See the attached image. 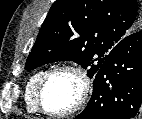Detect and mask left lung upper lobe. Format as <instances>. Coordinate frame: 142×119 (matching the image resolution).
Returning a JSON list of instances; mask_svg holds the SVG:
<instances>
[{"mask_svg":"<svg viewBox=\"0 0 142 119\" xmlns=\"http://www.w3.org/2000/svg\"><path fill=\"white\" fill-rule=\"evenodd\" d=\"M142 15L136 0H56L26 61V69L74 61L92 78L111 49L137 32Z\"/></svg>","mask_w":142,"mask_h":119,"instance_id":"5c2ea615","label":"left lung upper lobe"}]
</instances>
